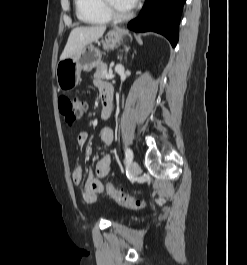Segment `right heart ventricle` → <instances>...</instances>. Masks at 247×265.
<instances>
[{"instance_id": "e07e8e85", "label": "right heart ventricle", "mask_w": 247, "mask_h": 265, "mask_svg": "<svg viewBox=\"0 0 247 265\" xmlns=\"http://www.w3.org/2000/svg\"><path fill=\"white\" fill-rule=\"evenodd\" d=\"M78 18L88 24H106L110 21L103 8V0H74Z\"/></svg>"}]
</instances>
